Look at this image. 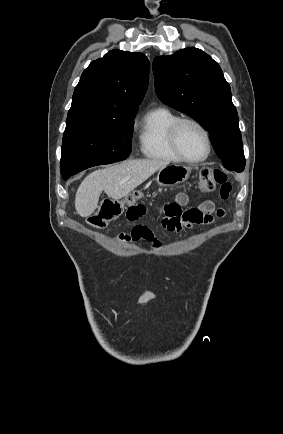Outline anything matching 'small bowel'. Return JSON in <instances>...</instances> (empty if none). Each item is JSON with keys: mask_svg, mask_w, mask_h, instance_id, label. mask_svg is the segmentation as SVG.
<instances>
[{"mask_svg": "<svg viewBox=\"0 0 283 434\" xmlns=\"http://www.w3.org/2000/svg\"><path fill=\"white\" fill-rule=\"evenodd\" d=\"M189 204V197L186 193H179L173 201L166 202L162 205L161 211L164 215L162 226L167 231L179 232L184 228H190L194 225L210 224L214 217H222V210L214 211L211 201H202L195 207L185 209ZM147 213L145 204L137 202L128 207L126 218L129 221H137ZM121 241H149L153 247H159V241L153 232L146 226L137 225L130 233H122L118 236Z\"/></svg>", "mask_w": 283, "mask_h": 434, "instance_id": "obj_1", "label": "small bowel"}]
</instances>
